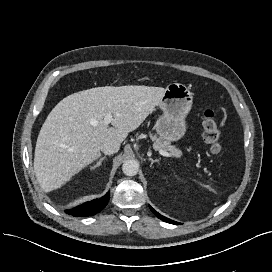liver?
Instances as JSON below:
<instances>
[{
	"mask_svg": "<svg viewBox=\"0 0 272 272\" xmlns=\"http://www.w3.org/2000/svg\"><path fill=\"white\" fill-rule=\"evenodd\" d=\"M162 87L105 86L71 94L49 113L37 138L34 172L45 191L61 187L98 159L106 142L119 147L158 105ZM111 114L113 127L105 125Z\"/></svg>",
	"mask_w": 272,
	"mask_h": 272,
	"instance_id": "6515ba94",
	"label": "liver"
}]
</instances>
